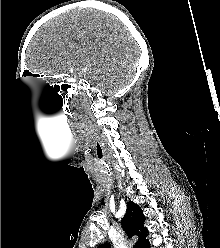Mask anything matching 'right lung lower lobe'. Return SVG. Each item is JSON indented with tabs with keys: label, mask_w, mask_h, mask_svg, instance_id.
Wrapping results in <instances>:
<instances>
[{
	"label": "right lung lower lobe",
	"mask_w": 220,
	"mask_h": 248,
	"mask_svg": "<svg viewBox=\"0 0 220 248\" xmlns=\"http://www.w3.org/2000/svg\"><path fill=\"white\" fill-rule=\"evenodd\" d=\"M147 248H150V244L147 246Z\"/></svg>",
	"instance_id": "98d812e1"
}]
</instances>
